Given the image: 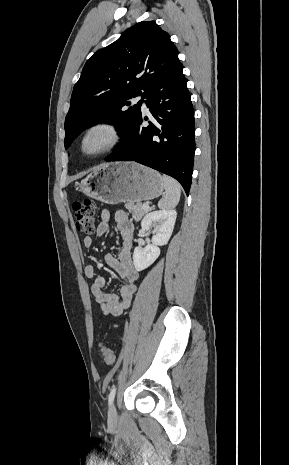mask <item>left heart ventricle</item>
Returning a JSON list of instances; mask_svg holds the SVG:
<instances>
[{
  "label": "left heart ventricle",
  "instance_id": "obj_1",
  "mask_svg": "<svg viewBox=\"0 0 289 465\" xmlns=\"http://www.w3.org/2000/svg\"><path fill=\"white\" fill-rule=\"evenodd\" d=\"M109 140V135L102 130L92 132L85 141V150L92 152L103 147Z\"/></svg>",
  "mask_w": 289,
  "mask_h": 465
}]
</instances>
